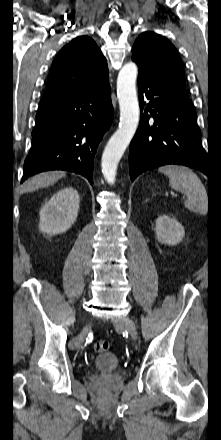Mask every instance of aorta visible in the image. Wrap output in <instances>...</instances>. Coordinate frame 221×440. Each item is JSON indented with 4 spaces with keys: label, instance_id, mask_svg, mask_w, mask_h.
<instances>
[{
    "label": "aorta",
    "instance_id": "1",
    "mask_svg": "<svg viewBox=\"0 0 221 440\" xmlns=\"http://www.w3.org/2000/svg\"><path fill=\"white\" fill-rule=\"evenodd\" d=\"M137 73V65L129 62L121 68L117 78L120 123L104 149L101 163L103 176L110 184L115 182L118 163L139 124L140 110L136 93Z\"/></svg>",
    "mask_w": 221,
    "mask_h": 440
}]
</instances>
